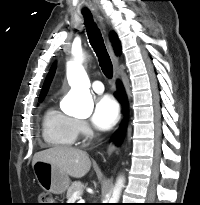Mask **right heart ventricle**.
Masks as SVG:
<instances>
[{
    "instance_id": "obj_1",
    "label": "right heart ventricle",
    "mask_w": 200,
    "mask_h": 205,
    "mask_svg": "<svg viewBox=\"0 0 200 205\" xmlns=\"http://www.w3.org/2000/svg\"><path fill=\"white\" fill-rule=\"evenodd\" d=\"M76 121L55 106L48 107L42 118L43 140L52 147H72L78 136Z\"/></svg>"
}]
</instances>
